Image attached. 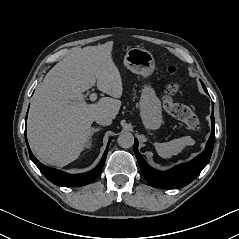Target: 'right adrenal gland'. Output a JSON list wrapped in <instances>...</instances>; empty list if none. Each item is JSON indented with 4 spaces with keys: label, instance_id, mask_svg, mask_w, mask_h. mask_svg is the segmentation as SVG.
Wrapping results in <instances>:
<instances>
[{
    "label": "right adrenal gland",
    "instance_id": "obj_1",
    "mask_svg": "<svg viewBox=\"0 0 239 239\" xmlns=\"http://www.w3.org/2000/svg\"><path fill=\"white\" fill-rule=\"evenodd\" d=\"M101 130V128H99V127H96V128H92L91 129V135H90V137L88 138V140H87V142H86V145L88 146L89 144H91V139H92V136L94 135V133H96V132H98V131H100Z\"/></svg>",
    "mask_w": 239,
    "mask_h": 239
}]
</instances>
